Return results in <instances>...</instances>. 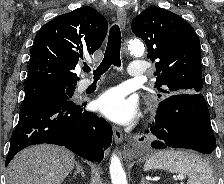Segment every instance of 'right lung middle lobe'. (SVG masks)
I'll return each instance as SVG.
<instances>
[{"label": "right lung middle lobe", "mask_w": 224, "mask_h": 184, "mask_svg": "<svg viewBox=\"0 0 224 184\" xmlns=\"http://www.w3.org/2000/svg\"><path fill=\"white\" fill-rule=\"evenodd\" d=\"M25 98L22 105L46 96L68 97L73 95L75 85L40 83L25 85Z\"/></svg>", "instance_id": "right-lung-middle-lobe-1"}]
</instances>
